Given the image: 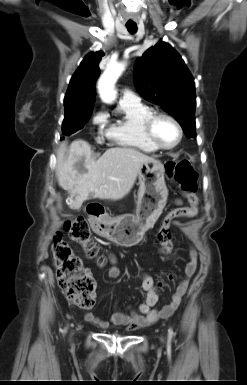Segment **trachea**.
Listing matches in <instances>:
<instances>
[{
    "label": "trachea",
    "mask_w": 247,
    "mask_h": 385,
    "mask_svg": "<svg viewBox=\"0 0 247 385\" xmlns=\"http://www.w3.org/2000/svg\"><path fill=\"white\" fill-rule=\"evenodd\" d=\"M126 27H127L128 32L131 34H134L137 31V25L136 24L126 25Z\"/></svg>",
    "instance_id": "trachea-1"
}]
</instances>
